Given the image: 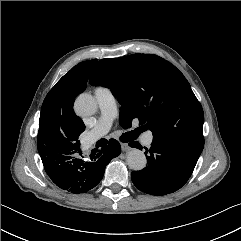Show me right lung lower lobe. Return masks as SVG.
<instances>
[{"instance_id": "1", "label": "right lung lower lobe", "mask_w": 241, "mask_h": 241, "mask_svg": "<svg viewBox=\"0 0 241 241\" xmlns=\"http://www.w3.org/2000/svg\"><path fill=\"white\" fill-rule=\"evenodd\" d=\"M38 151L51 180L61 189L79 194L101 181L106 165L121 153V146L117 140L110 139L108 145L90 155V161L82 159L80 146L74 149L65 147L58 152L48 148H38Z\"/></svg>"}]
</instances>
